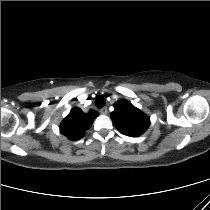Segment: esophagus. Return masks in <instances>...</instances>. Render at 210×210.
Segmentation results:
<instances>
[{"label": "esophagus", "instance_id": "obj_1", "mask_svg": "<svg viewBox=\"0 0 210 210\" xmlns=\"http://www.w3.org/2000/svg\"><path fill=\"white\" fill-rule=\"evenodd\" d=\"M100 113L103 115H106L108 113V110L106 107H103L102 109H100Z\"/></svg>", "mask_w": 210, "mask_h": 210}]
</instances>
